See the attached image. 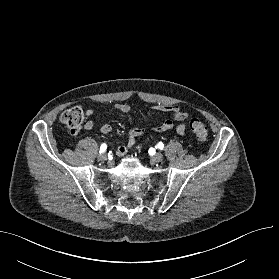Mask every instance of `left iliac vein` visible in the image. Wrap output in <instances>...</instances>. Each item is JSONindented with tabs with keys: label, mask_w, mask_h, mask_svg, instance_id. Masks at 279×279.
Masks as SVG:
<instances>
[{
	"label": "left iliac vein",
	"mask_w": 279,
	"mask_h": 279,
	"mask_svg": "<svg viewBox=\"0 0 279 279\" xmlns=\"http://www.w3.org/2000/svg\"><path fill=\"white\" fill-rule=\"evenodd\" d=\"M164 159V156L161 154V153H155L153 156H152V161L153 162H162Z\"/></svg>",
	"instance_id": "obj_1"
}]
</instances>
